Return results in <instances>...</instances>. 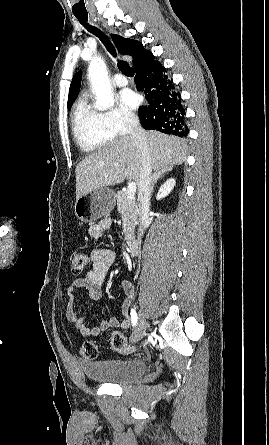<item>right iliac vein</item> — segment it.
Instances as JSON below:
<instances>
[{
	"instance_id": "63e3f726",
	"label": "right iliac vein",
	"mask_w": 269,
	"mask_h": 445,
	"mask_svg": "<svg viewBox=\"0 0 269 445\" xmlns=\"http://www.w3.org/2000/svg\"><path fill=\"white\" fill-rule=\"evenodd\" d=\"M145 329H146V321H145L144 317L142 315H140L139 321H138V323L133 331V334H132V338H131L132 342L140 341L145 334Z\"/></svg>"
}]
</instances>
